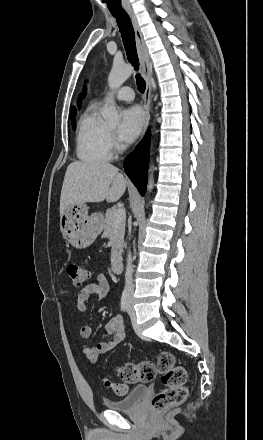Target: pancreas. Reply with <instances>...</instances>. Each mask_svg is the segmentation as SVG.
I'll use <instances>...</instances> for the list:
<instances>
[{
	"instance_id": "cf45deb5",
	"label": "pancreas",
	"mask_w": 263,
	"mask_h": 440,
	"mask_svg": "<svg viewBox=\"0 0 263 440\" xmlns=\"http://www.w3.org/2000/svg\"><path fill=\"white\" fill-rule=\"evenodd\" d=\"M115 208L106 211V217L103 224V236L111 240V262H115L121 257L124 246L125 218L119 223L114 220Z\"/></svg>"
}]
</instances>
